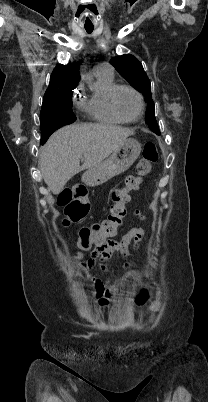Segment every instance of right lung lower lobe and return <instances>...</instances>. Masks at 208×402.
<instances>
[{
    "label": "right lung lower lobe",
    "instance_id": "obj_1",
    "mask_svg": "<svg viewBox=\"0 0 208 402\" xmlns=\"http://www.w3.org/2000/svg\"><path fill=\"white\" fill-rule=\"evenodd\" d=\"M67 125V124H63L57 120H51V121H44L41 122V133H43V135L47 139L50 137V135L57 129H59L60 127Z\"/></svg>",
    "mask_w": 208,
    "mask_h": 402
}]
</instances>
